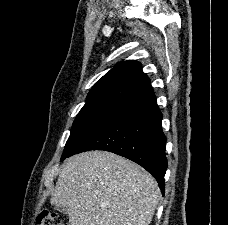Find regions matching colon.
<instances>
[{"instance_id":"obj_1","label":"colon","mask_w":228,"mask_h":225,"mask_svg":"<svg viewBox=\"0 0 228 225\" xmlns=\"http://www.w3.org/2000/svg\"><path fill=\"white\" fill-rule=\"evenodd\" d=\"M38 225H64L59 214L51 209H43L37 218Z\"/></svg>"}]
</instances>
